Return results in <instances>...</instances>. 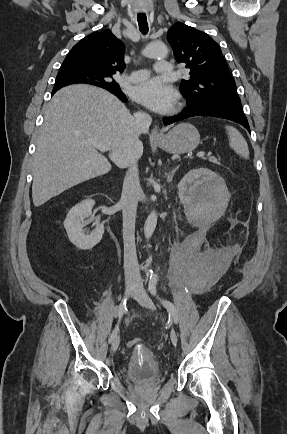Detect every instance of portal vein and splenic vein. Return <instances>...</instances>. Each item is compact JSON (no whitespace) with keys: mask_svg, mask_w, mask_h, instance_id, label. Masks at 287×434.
I'll return each mask as SVG.
<instances>
[{"mask_svg":"<svg viewBox=\"0 0 287 434\" xmlns=\"http://www.w3.org/2000/svg\"><path fill=\"white\" fill-rule=\"evenodd\" d=\"M92 144L101 152L110 151V146L101 142L92 141ZM206 153L201 151L197 153V157H203Z\"/></svg>","mask_w":287,"mask_h":434,"instance_id":"portal-vein-and-splenic-vein-1","label":"portal vein and splenic vein"}]
</instances>
